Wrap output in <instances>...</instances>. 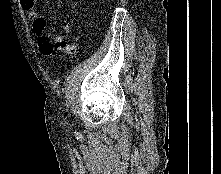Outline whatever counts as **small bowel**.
Returning <instances> with one entry per match:
<instances>
[{"label":"small bowel","instance_id":"1","mask_svg":"<svg viewBox=\"0 0 221 174\" xmlns=\"http://www.w3.org/2000/svg\"><path fill=\"white\" fill-rule=\"evenodd\" d=\"M36 2L37 0H21L23 8L27 12V17L33 22L34 32L41 36V42L39 44L41 53L45 56H50L54 50H57L62 54L74 51V44L66 41V37L71 30L69 24L66 23L62 26V32L57 34L53 38V41L44 36L46 20L40 17L36 11Z\"/></svg>","mask_w":221,"mask_h":174}]
</instances>
